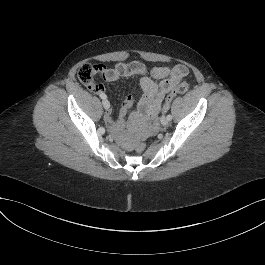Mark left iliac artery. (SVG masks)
I'll list each match as a JSON object with an SVG mask.
<instances>
[{
	"instance_id": "left-iliac-artery-1",
	"label": "left iliac artery",
	"mask_w": 265,
	"mask_h": 265,
	"mask_svg": "<svg viewBox=\"0 0 265 265\" xmlns=\"http://www.w3.org/2000/svg\"><path fill=\"white\" fill-rule=\"evenodd\" d=\"M167 119L170 121L172 119V116L170 114L167 115Z\"/></svg>"
}]
</instances>
